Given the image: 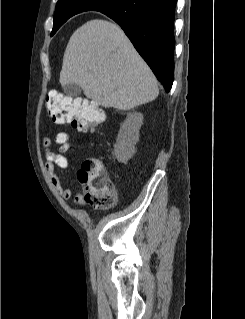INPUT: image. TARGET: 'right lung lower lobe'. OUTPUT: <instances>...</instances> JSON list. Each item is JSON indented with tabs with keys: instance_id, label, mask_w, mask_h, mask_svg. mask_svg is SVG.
Segmentation results:
<instances>
[{
	"instance_id": "right-lung-lower-lobe-1",
	"label": "right lung lower lobe",
	"mask_w": 245,
	"mask_h": 319,
	"mask_svg": "<svg viewBox=\"0 0 245 319\" xmlns=\"http://www.w3.org/2000/svg\"><path fill=\"white\" fill-rule=\"evenodd\" d=\"M177 0H123L104 13L124 30L169 92L174 78L173 23Z\"/></svg>"
}]
</instances>
